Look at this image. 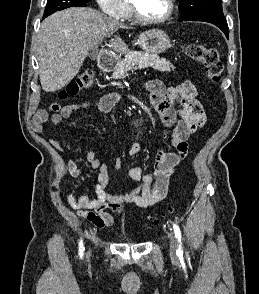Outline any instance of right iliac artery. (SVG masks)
I'll return each mask as SVG.
<instances>
[{
	"label": "right iliac artery",
	"instance_id": "right-iliac-artery-1",
	"mask_svg": "<svg viewBox=\"0 0 259 294\" xmlns=\"http://www.w3.org/2000/svg\"><path fill=\"white\" fill-rule=\"evenodd\" d=\"M84 250H85V248H84V246H83V240L81 239V240H80V243H79V255H80V258L83 257V255H84Z\"/></svg>",
	"mask_w": 259,
	"mask_h": 294
}]
</instances>
